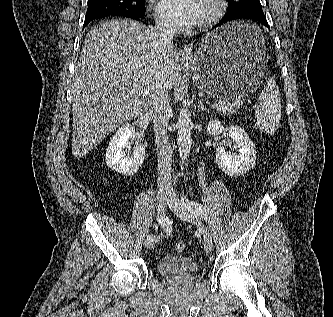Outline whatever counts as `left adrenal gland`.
Masks as SVG:
<instances>
[{
  "label": "left adrenal gland",
  "mask_w": 333,
  "mask_h": 317,
  "mask_svg": "<svg viewBox=\"0 0 333 317\" xmlns=\"http://www.w3.org/2000/svg\"><path fill=\"white\" fill-rule=\"evenodd\" d=\"M209 111V109H207L205 106H204V104H203V102L202 101H200L199 102V105H198V112H202V111Z\"/></svg>",
  "instance_id": "1"
}]
</instances>
